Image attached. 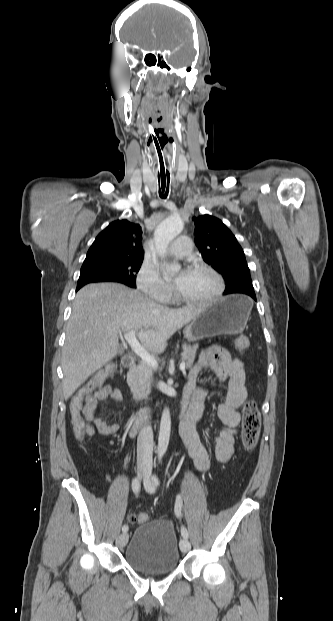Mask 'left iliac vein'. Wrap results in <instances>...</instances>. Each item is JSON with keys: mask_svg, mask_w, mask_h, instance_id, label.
<instances>
[{"mask_svg": "<svg viewBox=\"0 0 333 621\" xmlns=\"http://www.w3.org/2000/svg\"><path fill=\"white\" fill-rule=\"evenodd\" d=\"M144 480L148 481V482H151L150 472L146 473V475L144 477ZM153 490L154 489H151L150 492H152ZM179 546H180L181 551L184 552V553L188 552L191 549V544H190V542L186 538H183V539L180 540Z\"/></svg>", "mask_w": 333, "mask_h": 621, "instance_id": "left-iliac-vein-1", "label": "left iliac vein"}]
</instances>
